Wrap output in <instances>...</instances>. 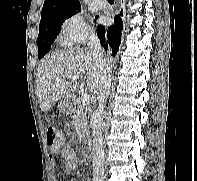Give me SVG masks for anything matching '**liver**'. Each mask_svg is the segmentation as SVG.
I'll return each mask as SVG.
<instances>
[{"label": "liver", "instance_id": "liver-1", "mask_svg": "<svg viewBox=\"0 0 197 181\" xmlns=\"http://www.w3.org/2000/svg\"><path fill=\"white\" fill-rule=\"evenodd\" d=\"M71 75H86L87 89L95 94L99 87V71L90 51L69 49L44 57L38 65L35 92L42 112L65 99L77 89V82L68 81ZM61 78V82H57Z\"/></svg>", "mask_w": 197, "mask_h": 181}]
</instances>
